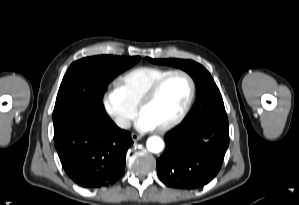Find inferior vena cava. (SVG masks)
<instances>
[{
  "label": "inferior vena cava",
  "mask_w": 299,
  "mask_h": 205,
  "mask_svg": "<svg viewBox=\"0 0 299 205\" xmlns=\"http://www.w3.org/2000/svg\"><path fill=\"white\" fill-rule=\"evenodd\" d=\"M115 123L117 124V126H119L120 128H124V129H127L131 126L130 120L123 118V117H117L115 119Z\"/></svg>",
  "instance_id": "602c4592"
}]
</instances>
